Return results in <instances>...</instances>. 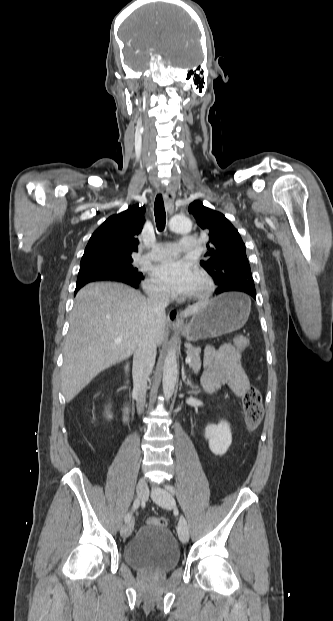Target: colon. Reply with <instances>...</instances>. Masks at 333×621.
I'll use <instances>...</instances> for the list:
<instances>
[{
    "label": "colon",
    "instance_id": "obj_1",
    "mask_svg": "<svg viewBox=\"0 0 333 621\" xmlns=\"http://www.w3.org/2000/svg\"><path fill=\"white\" fill-rule=\"evenodd\" d=\"M235 345L239 351H243L247 348L248 341L244 337H239L237 338ZM243 410L248 427L250 429L256 428L263 416L262 395L256 387L250 386L244 393ZM147 523L160 526L167 525L166 519L162 517H150L148 518Z\"/></svg>",
    "mask_w": 333,
    "mask_h": 621
}]
</instances>
